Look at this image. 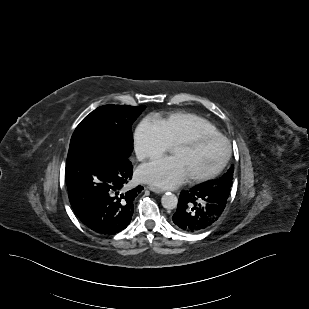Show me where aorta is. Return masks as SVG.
I'll return each mask as SVG.
<instances>
[{"instance_id": "obj_1", "label": "aorta", "mask_w": 309, "mask_h": 309, "mask_svg": "<svg viewBox=\"0 0 309 309\" xmlns=\"http://www.w3.org/2000/svg\"><path fill=\"white\" fill-rule=\"evenodd\" d=\"M178 199L173 193H166L161 198V204L165 209H174L177 207Z\"/></svg>"}]
</instances>
